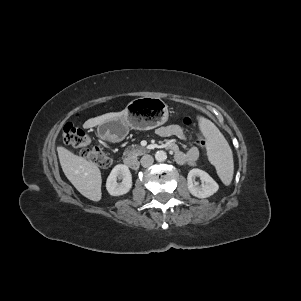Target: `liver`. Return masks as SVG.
<instances>
[{"label": "liver", "mask_w": 301, "mask_h": 301, "mask_svg": "<svg viewBox=\"0 0 301 301\" xmlns=\"http://www.w3.org/2000/svg\"><path fill=\"white\" fill-rule=\"evenodd\" d=\"M126 109L121 112H110L101 116L88 119L83 127L91 128L103 124L106 121L123 117ZM58 157L62 170L73 186L86 198L92 201L101 199V172L100 169L83 157L77 156L68 149L58 146Z\"/></svg>", "instance_id": "1"}]
</instances>
